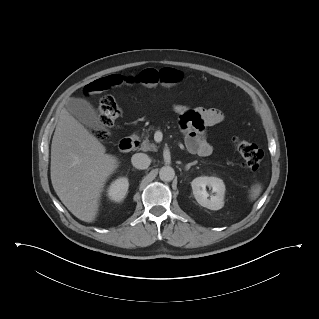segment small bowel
Here are the masks:
<instances>
[{
  "mask_svg": "<svg viewBox=\"0 0 319 319\" xmlns=\"http://www.w3.org/2000/svg\"><path fill=\"white\" fill-rule=\"evenodd\" d=\"M183 79L180 71L163 68L160 70L148 68L140 72L137 79L132 76L108 75L89 83L85 87L87 93H99L114 88L120 84L132 85L136 81L146 87L162 85L171 87ZM179 115L180 129L184 134L187 149L199 156L207 157L213 152L211 143L205 137L207 127L221 123L224 114L216 108L191 107L184 104L174 106Z\"/></svg>",
  "mask_w": 319,
  "mask_h": 319,
  "instance_id": "1",
  "label": "small bowel"
}]
</instances>
